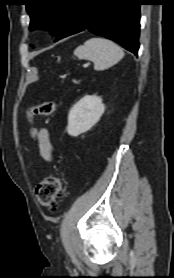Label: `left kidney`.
<instances>
[{"mask_svg": "<svg viewBox=\"0 0 174 278\" xmlns=\"http://www.w3.org/2000/svg\"><path fill=\"white\" fill-rule=\"evenodd\" d=\"M105 105L101 97L87 95L80 99L70 110L68 115L67 132L71 136L90 130L101 118Z\"/></svg>", "mask_w": 174, "mask_h": 278, "instance_id": "left-kidney-1", "label": "left kidney"}]
</instances>
